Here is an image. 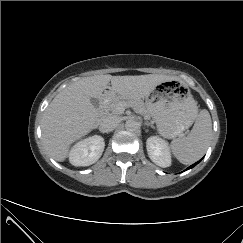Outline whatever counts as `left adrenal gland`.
Instances as JSON below:
<instances>
[{"instance_id": "a2214340", "label": "left adrenal gland", "mask_w": 243, "mask_h": 243, "mask_svg": "<svg viewBox=\"0 0 243 243\" xmlns=\"http://www.w3.org/2000/svg\"><path fill=\"white\" fill-rule=\"evenodd\" d=\"M144 125L150 126L151 128H153V126L150 123L145 122Z\"/></svg>"}]
</instances>
